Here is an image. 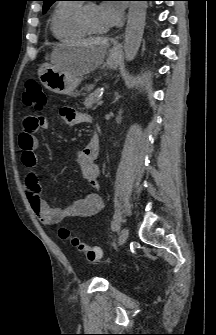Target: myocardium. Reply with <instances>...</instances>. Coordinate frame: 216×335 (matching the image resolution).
<instances>
[{
  "label": "myocardium",
  "instance_id": "myocardium-1",
  "mask_svg": "<svg viewBox=\"0 0 216 335\" xmlns=\"http://www.w3.org/2000/svg\"><path fill=\"white\" fill-rule=\"evenodd\" d=\"M90 4L82 5L80 11H79V21L82 27L87 31L88 34L91 35H102L105 30H95L92 28V26L89 23L88 17H87V7Z\"/></svg>",
  "mask_w": 216,
  "mask_h": 335
}]
</instances>
